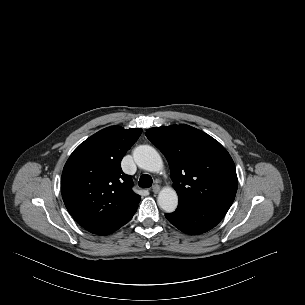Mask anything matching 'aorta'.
I'll list each match as a JSON object with an SVG mask.
<instances>
[{
    "instance_id": "1",
    "label": "aorta",
    "mask_w": 305,
    "mask_h": 305,
    "mask_svg": "<svg viewBox=\"0 0 305 305\" xmlns=\"http://www.w3.org/2000/svg\"><path fill=\"white\" fill-rule=\"evenodd\" d=\"M133 157L136 164L149 172H158L163 167L160 154L149 145H140L134 149ZM159 207L167 212H174L178 205V196L173 188L162 189L157 198Z\"/></svg>"
}]
</instances>
